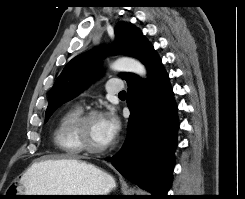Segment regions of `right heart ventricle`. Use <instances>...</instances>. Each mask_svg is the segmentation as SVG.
<instances>
[{"label": "right heart ventricle", "instance_id": "1", "mask_svg": "<svg viewBox=\"0 0 245 199\" xmlns=\"http://www.w3.org/2000/svg\"><path fill=\"white\" fill-rule=\"evenodd\" d=\"M82 113L79 107H71L60 117L53 133L56 146L69 156L78 155L81 150L71 133L74 120Z\"/></svg>", "mask_w": 245, "mask_h": 199}]
</instances>
